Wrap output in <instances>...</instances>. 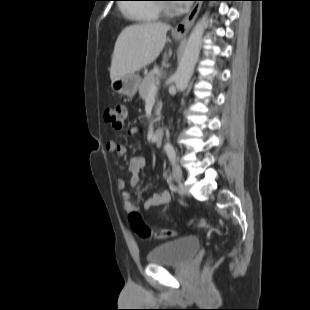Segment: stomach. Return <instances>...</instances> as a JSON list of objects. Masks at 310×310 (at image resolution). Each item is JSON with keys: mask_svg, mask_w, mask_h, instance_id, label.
I'll return each mask as SVG.
<instances>
[{"mask_svg": "<svg viewBox=\"0 0 310 310\" xmlns=\"http://www.w3.org/2000/svg\"><path fill=\"white\" fill-rule=\"evenodd\" d=\"M141 79L138 75L128 74L111 82V88L116 93L133 97L140 85Z\"/></svg>", "mask_w": 310, "mask_h": 310, "instance_id": "1", "label": "stomach"}]
</instances>
